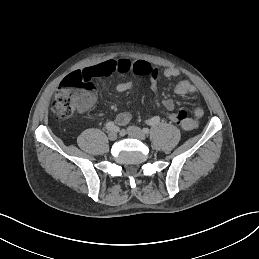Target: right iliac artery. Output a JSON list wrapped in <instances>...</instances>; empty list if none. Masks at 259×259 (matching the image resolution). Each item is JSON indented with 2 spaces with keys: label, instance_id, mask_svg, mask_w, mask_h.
I'll list each match as a JSON object with an SVG mask.
<instances>
[{
  "label": "right iliac artery",
  "instance_id": "1",
  "mask_svg": "<svg viewBox=\"0 0 259 259\" xmlns=\"http://www.w3.org/2000/svg\"><path fill=\"white\" fill-rule=\"evenodd\" d=\"M106 128H107V130H109V131L116 130V126H115V124H114L113 122H108V123L106 124Z\"/></svg>",
  "mask_w": 259,
  "mask_h": 259
}]
</instances>
